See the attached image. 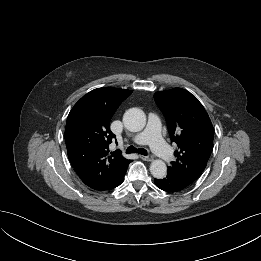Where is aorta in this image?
<instances>
[{
    "label": "aorta",
    "instance_id": "aorta-1",
    "mask_svg": "<svg viewBox=\"0 0 261 261\" xmlns=\"http://www.w3.org/2000/svg\"><path fill=\"white\" fill-rule=\"evenodd\" d=\"M123 123L131 132L141 131L146 125V115L139 108H130L123 115ZM150 172L153 177L162 179L167 174V166L162 160H154L150 165Z\"/></svg>",
    "mask_w": 261,
    "mask_h": 261
}]
</instances>
